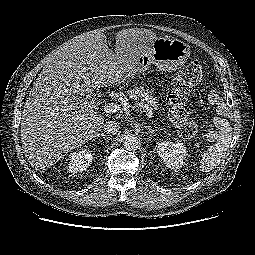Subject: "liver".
I'll return each instance as SVG.
<instances>
[{
  "label": "liver",
  "instance_id": "1",
  "mask_svg": "<svg viewBox=\"0 0 255 255\" xmlns=\"http://www.w3.org/2000/svg\"><path fill=\"white\" fill-rule=\"evenodd\" d=\"M157 35L129 28L116 33L115 52L101 32H87L58 49L33 84L21 120V143L35 170L97 136L104 117L94 112L82 86L117 85L136 71L140 54Z\"/></svg>",
  "mask_w": 255,
  "mask_h": 255
}]
</instances>
